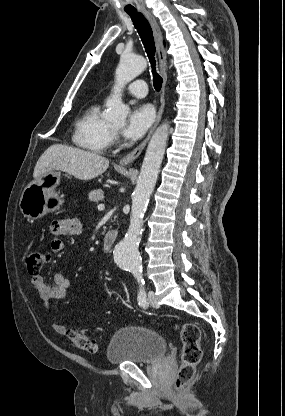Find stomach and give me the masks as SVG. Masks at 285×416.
<instances>
[{
    "mask_svg": "<svg viewBox=\"0 0 285 416\" xmlns=\"http://www.w3.org/2000/svg\"><path fill=\"white\" fill-rule=\"evenodd\" d=\"M61 180L60 172L52 170L40 176L36 182L28 184L23 190L19 208L24 218L38 220L46 214L60 210L64 204L63 196L56 192Z\"/></svg>",
    "mask_w": 285,
    "mask_h": 416,
    "instance_id": "stomach-1",
    "label": "stomach"
}]
</instances>
